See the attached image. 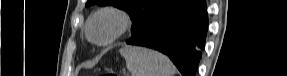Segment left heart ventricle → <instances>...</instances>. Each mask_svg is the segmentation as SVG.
<instances>
[{"instance_id": "obj_1", "label": "left heart ventricle", "mask_w": 287, "mask_h": 76, "mask_svg": "<svg viewBox=\"0 0 287 76\" xmlns=\"http://www.w3.org/2000/svg\"><path fill=\"white\" fill-rule=\"evenodd\" d=\"M115 29V20L111 17H102L94 22L91 34L97 39H104Z\"/></svg>"}]
</instances>
